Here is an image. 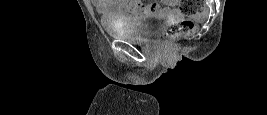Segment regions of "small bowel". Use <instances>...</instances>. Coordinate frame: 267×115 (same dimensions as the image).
<instances>
[{"instance_id": "obj_1", "label": "small bowel", "mask_w": 267, "mask_h": 115, "mask_svg": "<svg viewBox=\"0 0 267 115\" xmlns=\"http://www.w3.org/2000/svg\"><path fill=\"white\" fill-rule=\"evenodd\" d=\"M92 3L100 13H115L124 20H136L148 13L168 16L176 11V2L169 0L164 1V6L157 2L144 4L140 0H93Z\"/></svg>"}]
</instances>
